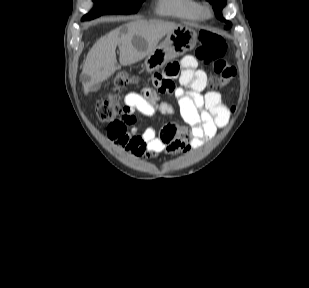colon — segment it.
Wrapping results in <instances>:
<instances>
[{
	"label": "colon",
	"mask_w": 309,
	"mask_h": 288,
	"mask_svg": "<svg viewBox=\"0 0 309 288\" xmlns=\"http://www.w3.org/2000/svg\"><path fill=\"white\" fill-rule=\"evenodd\" d=\"M199 45L196 49V58L204 65H211L212 75L210 85L218 90L226 87L232 80L235 69L226 59V43L224 39L213 32L202 30L198 35ZM130 83V78L123 73L115 76L112 82V92L118 94ZM168 84L157 85L161 93H168ZM95 113L103 122H119L125 126L133 125L134 115L127 107L121 106L114 98L100 99L95 105Z\"/></svg>",
	"instance_id": "1"
}]
</instances>
